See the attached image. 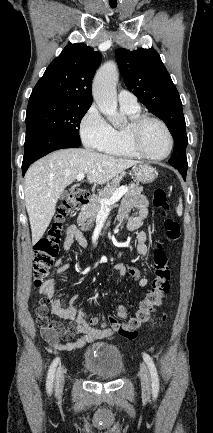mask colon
Returning a JSON list of instances; mask_svg holds the SVG:
<instances>
[{
    "instance_id": "obj_1",
    "label": "colon",
    "mask_w": 213,
    "mask_h": 433,
    "mask_svg": "<svg viewBox=\"0 0 213 433\" xmlns=\"http://www.w3.org/2000/svg\"><path fill=\"white\" fill-rule=\"evenodd\" d=\"M89 193L82 189H73L69 192L67 198L63 202L59 210V220H62L67 214L79 209L83 202L87 200ZM154 206L161 210L164 216L163 227L166 237L170 241H177L181 235V228L177 221L169 217L170 205L167 199V194L163 189H156L153 197ZM61 224L56 223L48 232L47 236L40 239L35 245L34 256V275L35 285H42V279L47 274L49 268L54 262L58 253V245L60 240ZM154 278L152 281L151 290L146 294L141 302L140 308L136 315L127 323H119L111 317L106 325L112 328L118 334L132 339L136 337L138 329L143 325H153V315L156 310L162 305L164 298L169 291L170 270L168 266V256L158 243L156 250L153 253ZM47 302L41 301L36 310L38 323L42 329L56 327L62 334H70L71 328H65L61 324L56 323L47 315ZM116 316L119 319L126 317V309L118 308ZM166 320V317L163 318ZM95 323L96 321H91Z\"/></svg>"
}]
</instances>
